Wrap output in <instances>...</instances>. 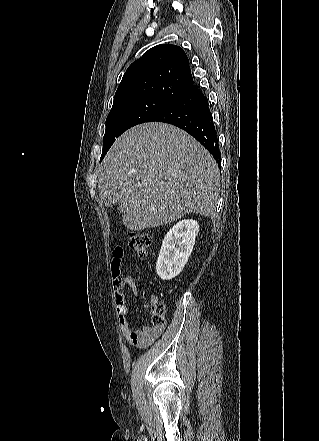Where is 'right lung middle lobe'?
I'll list each match as a JSON object with an SVG mask.
<instances>
[{
  "label": "right lung middle lobe",
  "mask_w": 319,
  "mask_h": 441,
  "mask_svg": "<svg viewBox=\"0 0 319 441\" xmlns=\"http://www.w3.org/2000/svg\"><path fill=\"white\" fill-rule=\"evenodd\" d=\"M170 103L172 102L161 98L140 97L113 106L106 119V131L103 138V150L100 161L104 158L115 139L123 132L137 124L148 122Z\"/></svg>",
  "instance_id": "1"
}]
</instances>
